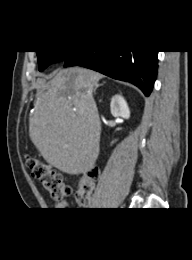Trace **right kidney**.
<instances>
[{
	"instance_id": "1",
	"label": "right kidney",
	"mask_w": 192,
	"mask_h": 260,
	"mask_svg": "<svg viewBox=\"0 0 192 260\" xmlns=\"http://www.w3.org/2000/svg\"><path fill=\"white\" fill-rule=\"evenodd\" d=\"M111 114L114 117L129 119L130 111L128 105L121 95H115L110 103Z\"/></svg>"
}]
</instances>
